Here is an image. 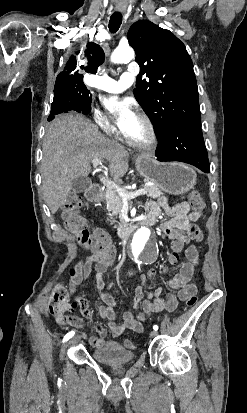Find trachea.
Here are the masks:
<instances>
[{
    "mask_svg": "<svg viewBox=\"0 0 247 413\" xmlns=\"http://www.w3.org/2000/svg\"><path fill=\"white\" fill-rule=\"evenodd\" d=\"M122 23V14L119 12L113 13L109 21V30L116 33Z\"/></svg>",
    "mask_w": 247,
    "mask_h": 413,
    "instance_id": "obj_1",
    "label": "trachea"
}]
</instances>
